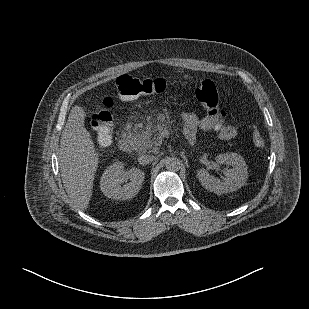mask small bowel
<instances>
[{"mask_svg": "<svg viewBox=\"0 0 309 309\" xmlns=\"http://www.w3.org/2000/svg\"><path fill=\"white\" fill-rule=\"evenodd\" d=\"M184 135L187 141L194 142L198 131H215L221 140H231L237 135V129L217 117L199 118L194 113L183 116Z\"/></svg>", "mask_w": 309, "mask_h": 309, "instance_id": "obj_1", "label": "small bowel"}]
</instances>
